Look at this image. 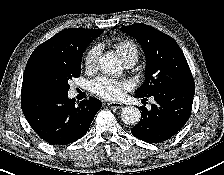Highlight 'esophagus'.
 I'll return each mask as SVG.
<instances>
[{"instance_id": "34e87169", "label": "esophagus", "mask_w": 224, "mask_h": 175, "mask_svg": "<svg viewBox=\"0 0 224 175\" xmlns=\"http://www.w3.org/2000/svg\"><path fill=\"white\" fill-rule=\"evenodd\" d=\"M107 105L110 107V108H116V109H120L122 108L124 105L120 102H108Z\"/></svg>"}]
</instances>
